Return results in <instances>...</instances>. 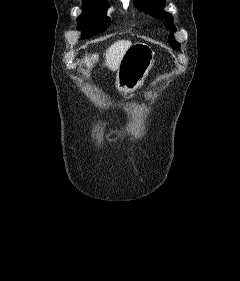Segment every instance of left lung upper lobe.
Masks as SVG:
<instances>
[{"label":"left lung upper lobe","instance_id":"1","mask_svg":"<svg viewBox=\"0 0 240 281\" xmlns=\"http://www.w3.org/2000/svg\"><path fill=\"white\" fill-rule=\"evenodd\" d=\"M164 0H134V5L141 11L158 19L166 20V28L171 32L176 31V27L173 24V17L170 13L165 12L162 8L164 6ZM169 43L173 49H179L180 44L175 41L173 35L169 36Z\"/></svg>","mask_w":240,"mask_h":281}]
</instances>
